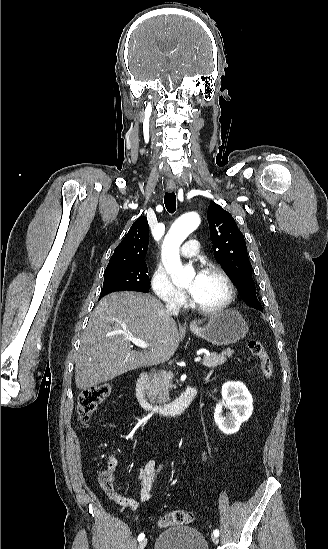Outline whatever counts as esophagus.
<instances>
[{
	"instance_id": "obj_1",
	"label": "esophagus",
	"mask_w": 328,
	"mask_h": 549,
	"mask_svg": "<svg viewBox=\"0 0 328 549\" xmlns=\"http://www.w3.org/2000/svg\"><path fill=\"white\" fill-rule=\"evenodd\" d=\"M167 189L170 191L176 190V184L172 180L167 181ZM191 325H194V322H191Z\"/></svg>"
}]
</instances>
